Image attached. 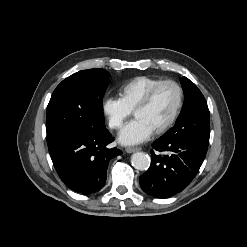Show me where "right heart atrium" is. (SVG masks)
<instances>
[{
  "label": "right heart atrium",
  "instance_id": "right-heart-atrium-1",
  "mask_svg": "<svg viewBox=\"0 0 247 247\" xmlns=\"http://www.w3.org/2000/svg\"><path fill=\"white\" fill-rule=\"evenodd\" d=\"M102 112L111 129H119L131 115V111L125 106L121 98L106 96L101 103Z\"/></svg>",
  "mask_w": 247,
  "mask_h": 247
}]
</instances>
